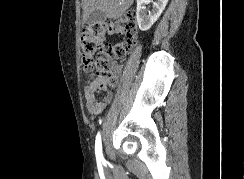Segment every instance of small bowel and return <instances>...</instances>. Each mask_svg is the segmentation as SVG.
<instances>
[{
  "label": "small bowel",
  "mask_w": 244,
  "mask_h": 179,
  "mask_svg": "<svg viewBox=\"0 0 244 179\" xmlns=\"http://www.w3.org/2000/svg\"><path fill=\"white\" fill-rule=\"evenodd\" d=\"M112 73L117 74L118 69L113 68ZM102 92L104 94L99 97ZM83 95L86 107L92 116L101 114L112 100V93L102 85L100 89H91L90 86L86 87Z\"/></svg>",
  "instance_id": "obj_1"
}]
</instances>
